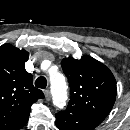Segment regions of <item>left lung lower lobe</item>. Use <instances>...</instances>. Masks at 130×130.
Returning <instances> with one entry per match:
<instances>
[{
	"label": "left lung lower lobe",
	"instance_id": "left-lung-lower-lobe-1",
	"mask_svg": "<svg viewBox=\"0 0 130 130\" xmlns=\"http://www.w3.org/2000/svg\"><path fill=\"white\" fill-rule=\"evenodd\" d=\"M56 126L60 130H94L103 120L89 113L70 107L55 114Z\"/></svg>",
	"mask_w": 130,
	"mask_h": 130
}]
</instances>
